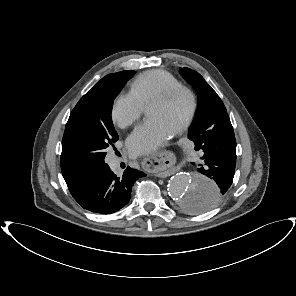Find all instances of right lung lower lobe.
Instances as JSON below:
<instances>
[{
    "instance_id": "right-lung-lower-lobe-1",
    "label": "right lung lower lobe",
    "mask_w": 296,
    "mask_h": 296,
    "mask_svg": "<svg viewBox=\"0 0 296 296\" xmlns=\"http://www.w3.org/2000/svg\"><path fill=\"white\" fill-rule=\"evenodd\" d=\"M145 176L143 172L127 167L123 176L117 177L108 164L103 163L66 181V184L73 198L84 209L112 214L129 203L135 181Z\"/></svg>"
}]
</instances>
